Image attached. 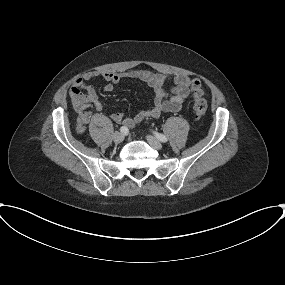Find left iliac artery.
<instances>
[{"label":"left iliac artery","instance_id":"obj_1","mask_svg":"<svg viewBox=\"0 0 285 285\" xmlns=\"http://www.w3.org/2000/svg\"><path fill=\"white\" fill-rule=\"evenodd\" d=\"M155 136L157 137L158 140H160L161 142H166L167 141V137L161 133H156L154 132Z\"/></svg>","mask_w":285,"mask_h":285}]
</instances>
